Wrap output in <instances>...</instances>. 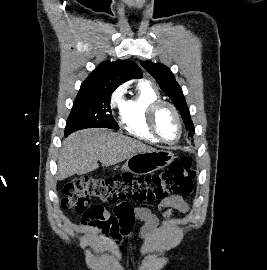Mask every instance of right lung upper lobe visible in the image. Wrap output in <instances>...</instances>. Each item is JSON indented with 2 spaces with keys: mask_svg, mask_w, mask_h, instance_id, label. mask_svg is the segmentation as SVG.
<instances>
[{
  "mask_svg": "<svg viewBox=\"0 0 267 270\" xmlns=\"http://www.w3.org/2000/svg\"><path fill=\"white\" fill-rule=\"evenodd\" d=\"M140 68L131 60L103 62L81 84L80 89L112 88L116 89L122 83L141 77Z\"/></svg>",
  "mask_w": 267,
  "mask_h": 270,
  "instance_id": "cb5924a9",
  "label": "right lung upper lobe"
}]
</instances>
